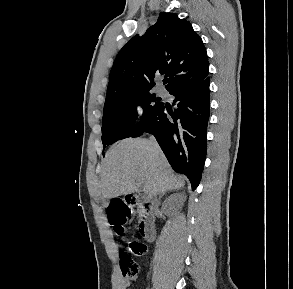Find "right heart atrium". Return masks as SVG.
I'll return each mask as SVG.
<instances>
[{"label":"right heart atrium","mask_w":293,"mask_h":289,"mask_svg":"<svg viewBox=\"0 0 293 289\" xmlns=\"http://www.w3.org/2000/svg\"><path fill=\"white\" fill-rule=\"evenodd\" d=\"M131 114L136 121H138V122L142 121L143 116H144L143 107L140 104H135L131 108Z\"/></svg>","instance_id":"1"}]
</instances>
